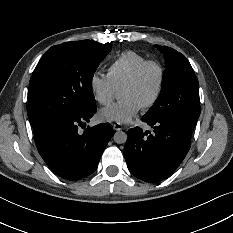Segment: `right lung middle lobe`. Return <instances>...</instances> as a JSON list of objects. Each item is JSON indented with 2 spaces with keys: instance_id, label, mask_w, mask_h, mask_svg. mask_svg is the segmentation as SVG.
Here are the masks:
<instances>
[{
  "instance_id": "right-lung-middle-lobe-1",
  "label": "right lung middle lobe",
  "mask_w": 233,
  "mask_h": 233,
  "mask_svg": "<svg viewBox=\"0 0 233 233\" xmlns=\"http://www.w3.org/2000/svg\"><path fill=\"white\" fill-rule=\"evenodd\" d=\"M110 50V43L93 40L48 49L30 79L27 114L31 125L63 120L94 103L93 74Z\"/></svg>"
}]
</instances>
